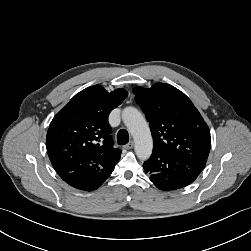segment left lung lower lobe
<instances>
[{"label":"left lung lower lobe","instance_id":"0a47b994","mask_svg":"<svg viewBox=\"0 0 251 251\" xmlns=\"http://www.w3.org/2000/svg\"><path fill=\"white\" fill-rule=\"evenodd\" d=\"M206 162L186 156L153 152L144 162V171L155 186L164 191L176 190L192 183Z\"/></svg>","mask_w":251,"mask_h":251}]
</instances>
